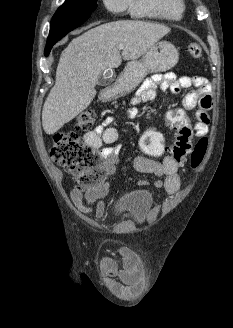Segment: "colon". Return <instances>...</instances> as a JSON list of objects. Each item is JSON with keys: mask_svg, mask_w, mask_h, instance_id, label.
Listing matches in <instances>:
<instances>
[{"mask_svg": "<svg viewBox=\"0 0 233 328\" xmlns=\"http://www.w3.org/2000/svg\"><path fill=\"white\" fill-rule=\"evenodd\" d=\"M188 54L192 58L202 55V48L197 43L188 46ZM96 113L92 109L82 111L75 119L78 129L90 130L95 122ZM166 125L174 133V140L166 146L163 135L154 130H146L140 139L141 151L148 156L170 155L181 167L190 162L193 168L202 163L208 147V140L202 137L193 146V127L182 109H171L165 116ZM51 159L77 177L82 187L91 188L101 184L105 170L95 149L87 145L73 131L58 132L53 136L49 149Z\"/></svg>", "mask_w": 233, "mask_h": 328, "instance_id": "5ec220e1", "label": "colon"}]
</instances>
